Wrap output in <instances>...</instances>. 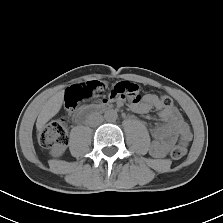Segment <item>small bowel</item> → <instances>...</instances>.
<instances>
[{
  "label": "small bowel",
  "instance_id": "1",
  "mask_svg": "<svg viewBox=\"0 0 223 223\" xmlns=\"http://www.w3.org/2000/svg\"><path fill=\"white\" fill-rule=\"evenodd\" d=\"M108 99H103L102 104L108 103ZM121 103V101H119ZM130 108L140 114L149 112L156 108L159 112V118L162 123L156 125L152 131L153 142L150 146V154L155 158L165 156L168 149L178 140L191 139V131L182 115L173 105L163 107L160 104L159 97L156 94H146L142 99L133 98L130 102ZM79 120V118H78Z\"/></svg>",
  "mask_w": 223,
  "mask_h": 223
}]
</instances>
